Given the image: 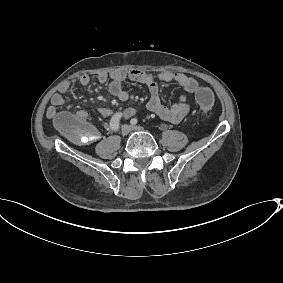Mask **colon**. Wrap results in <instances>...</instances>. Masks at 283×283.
Wrapping results in <instances>:
<instances>
[{"mask_svg": "<svg viewBox=\"0 0 283 283\" xmlns=\"http://www.w3.org/2000/svg\"><path fill=\"white\" fill-rule=\"evenodd\" d=\"M200 113L207 115L214 105V95L209 88H200L196 93ZM57 128L77 144H89L96 138V130L83 119L66 112L59 113L55 120Z\"/></svg>", "mask_w": 283, "mask_h": 283, "instance_id": "colon-1", "label": "colon"}]
</instances>
